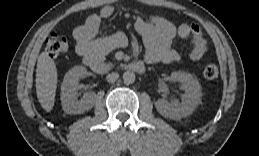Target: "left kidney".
I'll use <instances>...</instances> for the list:
<instances>
[{"instance_id":"obj_1","label":"left kidney","mask_w":259,"mask_h":156,"mask_svg":"<svg viewBox=\"0 0 259 156\" xmlns=\"http://www.w3.org/2000/svg\"><path fill=\"white\" fill-rule=\"evenodd\" d=\"M171 80L180 82L183 85L185 93L181 97V104L169 103L165 99H158L155 107L164 117L180 119L191 114L201 101V86L194 76L185 72H172Z\"/></svg>"}]
</instances>
